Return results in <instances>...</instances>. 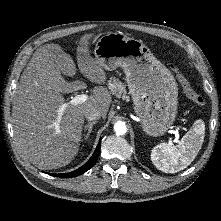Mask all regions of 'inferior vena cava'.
I'll list each match as a JSON object with an SVG mask.
<instances>
[{
    "mask_svg": "<svg viewBox=\"0 0 221 221\" xmlns=\"http://www.w3.org/2000/svg\"><path fill=\"white\" fill-rule=\"evenodd\" d=\"M85 117L88 121L97 120L101 117V113L98 110H89L85 113Z\"/></svg>",
    "mask_w": 221,
    "mask_h": 221,
    "instance_id": "obj_1",
    "label": "inferior vena cava"
}]
</instances>
